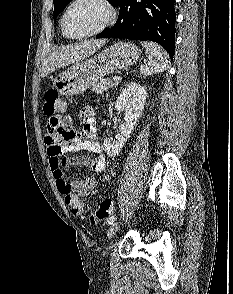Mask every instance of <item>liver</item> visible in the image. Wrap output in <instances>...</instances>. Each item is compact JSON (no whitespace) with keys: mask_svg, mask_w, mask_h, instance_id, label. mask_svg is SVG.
Returning <instances> with one entry per match:
<instances>
[{"mask_svg":"<svg viewBox=\"0 0 233 294\" xmlns=\"http://www.w3.org/2000/svg\"><path fill=\"white\" fill-rule=\"evenodd\" d=\"M105 40L85 41L80 44L69 45L62 49L54 51L43 63L40 72L41 77H45L58 68L75 64L79 61L93 55L99 50Z\"/></svg>","mask_w":233,"mask_h":294,"instance_id":"6515ba94","label":"liver"}]
</instances>
